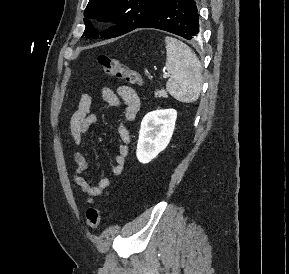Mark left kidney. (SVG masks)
<instances>
[{
    "label": "left kidney",
    "instance_id": "5707ae66",
    "mask_svg": "<svg viewBox=\"0 0 289 274\" xmlns=\"http://www.w3.org/2000/svg\"><path fill=\"white\" fill-rule=\"evenodd\" d=\"M177 118L174 109L156 110L145 115L141 122L136 156L146 164L169 144Z\"/></svg>",
    "mask_w": 289,
    "mask_h": 274
}]
</instances>
